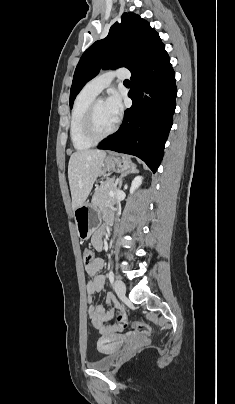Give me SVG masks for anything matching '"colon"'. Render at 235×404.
<instances>
[{"label": "colon", "instance_id": "colon-1", "mask_svg": "<svg viewBox=\"0 0 235 404\" xmlns=\"http://www.w3.org/2000/svg\"><path fill=\"white\" fill-rule=\"evenodd\" d=\"M93 261H94L93 252L90 249H85L84 252H83V262H84V264L89 265ZM127 327H128V321H127L126 315L123 312H121L118 315V318H117V328L119 330H123V329H125ZM130 327L135 332L140 333V334H146V335L150 334L152 332V330H153L152 327L149 324L143 323V322H138V321L132 322L130 324Z\"/></svg>", "mask_w": 235, "mask_h": 404}]
</instances>
